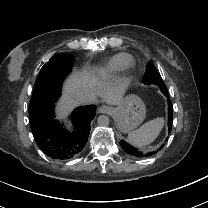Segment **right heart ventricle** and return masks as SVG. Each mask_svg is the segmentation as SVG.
Masks as SVG:
<instances>
[{"label":"right heart ventricle","mask_w":208,"mask_h":208,"mask_svg":"<svg viewBox=\"0 0 208 208\" xmlns=\"http://www.w3.org/2000/svg\"><path fill=\"white\" fill-rule=\"evenodd\" d=\"M133 63L134 57L130 53H117L96 66L91 72V78L98 86H107Z\"/></svg>","instance_id":"1"}]
</instances>
